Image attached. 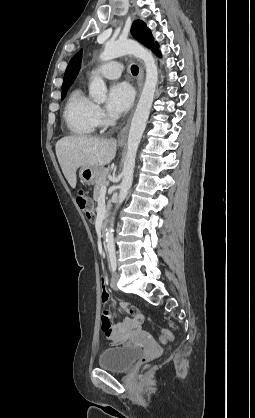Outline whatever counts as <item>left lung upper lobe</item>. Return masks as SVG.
Listing matches in <instances>:
<instances>
[{
  "label": "left lung upper lobe",
  "instance_id": "obj_1",
  "mask_svg": "<svg viewBox=\"0 0 255 418\" xmlns=\"http://www.w3.org/2000/svg\"><path fill=\"white\" fill-rule=\"evenodd\" d=\"M131 33L135 39L152 50L158 46L157 43H154L151 32L143 21H135L132 25Z\"/></svg>",
  "mask_w": 255,
  "mask_h": 418
}]
</instances>
